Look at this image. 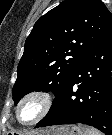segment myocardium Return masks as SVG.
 Wrapping results in <instances>:
<instances>
[{
	"label": "myocardium",
	"mask_w": 112,
	"mask_h": 135,
	"mask_svg": "<svg viewBox=\"0 0 112 135\" xmlns=\"http://www.w3.org/2000/svg\"><path fill=\"white\" fill-rule=\"evenodd\" d=\"M29 100H37L40 105L39 112L36 117L28 122H22L19 119V110L21 106L29 101ZM53 104V99L51 94L45 90L35 89L25 93L17 102L14 110L15 118L17 122L22 126H33L44 119L48 113L50 112Z\"/></svg>",
	"instance_id": "obj_1"
}]
</instances>
